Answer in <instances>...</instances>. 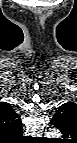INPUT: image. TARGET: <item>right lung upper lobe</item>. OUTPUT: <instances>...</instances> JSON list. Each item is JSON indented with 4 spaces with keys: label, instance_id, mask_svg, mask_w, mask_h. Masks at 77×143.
<instances>
[{
    "label": "right lung upper lobe",
    "instance_id": "obj_1",
    "mask_svg": "<svg viewBox=\"0 0 77 143\" xmlns=\"http://www.w3.org/2000/svg\"><path fill=\"white\" fill-rule=\"evenodd\" d=\"M0 132L11 137L22 135L21 119L7 103H0Z\"/></svg>",
    "mask_w": 77,
    "mask_h": 143
}]
</instances>
